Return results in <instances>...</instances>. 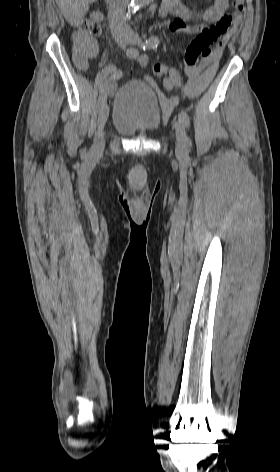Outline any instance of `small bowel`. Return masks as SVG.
Wrapping results in <instances>:
<instances>
[{
	"mask_svg": "<svg viewBox=\"0 0 280 472\" xmlns=\"http://www.w3.org/2000/svg\"><path fill=\"white\" fill-rule=\"evenodd\" d=\"M162 7L168 14L175 16V19L170 23L169 27L173 33L182 35L185 33L196 34L200 33L208 24L217 22L226 12L229 7V0H214V3L207 8L201 15V24L193 23V13L180 0H163ZM237 32V28L233 27L221 40L212 53L205 58H202L199 63L194 66H185V73L188 76V82L182 88L181 92L187 98L193 99L198 97L212 82L218 70L219 60L221 58L225 44ZM98 53L97 41L77 31L73 35V57H82L86 65L82 69H86L89 60L96 57ZM136 63L140 68L146 67L148 57L146 55H138ZM121 73L116 71L111 75L107 85V92L114 93L118 87V81ZM144 79L151 84L157 92L161 108L165 117H169L173 109L178 105L179 99L176 96H169L162 92L155 81L150 76H145ZM164 87L166 90H173L174 87L169 77L164 79Z\"/></svg>",
	"mask_w": 280,
	"mask_h": 472,
	"instance_id": "small-bowel-1",
	"label": "small bowel"
}]
</instances>
